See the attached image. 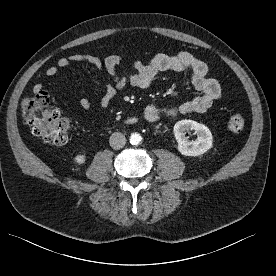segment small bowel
I'll return each instance as SVG.
<instances>
[{"label": "small bowel", "instance_id": "obj_1", "mask_svg": "<svg viewBox=\"0 0 276 276\" xmlns=\"http://www.w3.org/2000/svg\"><path fill=\"white\" fill-rule=\"evenodd\" d=\"M81 62L94 65L100 70L105 69L111 78L110 81H106L104 94L97 102V106L100 108L108 107L117 94L128 87L148 88L155 76L160 72L189 71L191 83L196 90L201 92V95L178 105L165 108L148 105L144 110V117L151 123L157 122L163 116L176 117L187 113H203L221 95L220 84L209 77L207 65L188 52H179L175 55L160 53L145 63L136 60L133 64L135 72L128 75H120L118 72V66L122 62V58L119 55L101 57L96 54L73 53L67 57L59 58L56 65L49 66L45 70V74L48 77H54L60 73L61 69L68 67L71 63ZM32 91L33 93H38L44 91V87L41 83H35ZM79 104L83 109L92 107V103L84 96H80Z\"/></svg>", "mask_w": 276, "mask_h": 276}]
</instances>
